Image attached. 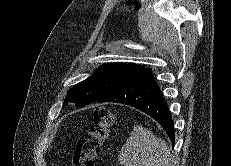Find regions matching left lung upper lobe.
Here are the masks:
<instances>
[{
    "label": "left lung upper lobe",
    "mask_w": 231,
    "mask_h": 166,
    "mask_svg": "<svg viewBox=\"0 0 231 166\" xmlns=\"http://www.w3.org/2000/svg\"><path fill=\"white\" fill-rule=\"evenodd\" d=\"M144 67L137 64L108 63L98 67L87 79L74 85L65 102L82 106L94 102L101 96L137 75Z\"/></svg>",
    "instance_id": "obj_1"
}]
</instances>
